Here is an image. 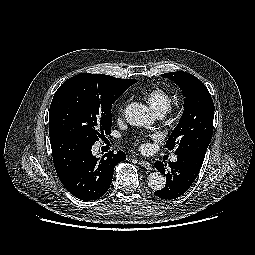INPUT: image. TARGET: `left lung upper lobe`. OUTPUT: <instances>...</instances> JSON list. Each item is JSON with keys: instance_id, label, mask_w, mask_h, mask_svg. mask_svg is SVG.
<instances>
[{"instance_id": "5c2ea615", "label": "left lung upper lobe", "mask_w": 255, "mask_h": 255, "mask_svg": "<svg viewBox=\"0 0 255 255\" xmlns=\"http://www.w3.org/2000/svg\"><path fill=\"white\" fill-rule=\"evenodd\" d=\"M163 77L178 84L184 96V112L166 147L175 154L205 157L213 132L214 104L207 87L187 72H170Z\"/></svg>"}]
</instances>
